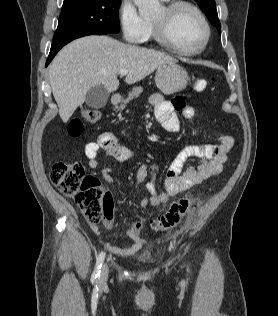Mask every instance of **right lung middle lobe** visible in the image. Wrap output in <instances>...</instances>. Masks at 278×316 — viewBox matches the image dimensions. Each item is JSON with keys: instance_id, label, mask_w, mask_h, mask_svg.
<instances>
[{"instance_id": "1", "label": "right lung middle lobe", "mask_w": 278, "mask_h": 316, "mask_svg": "<svg viewBox=\"0 0 278 316\" xmlns=\"http://www.w3.org/2000/svg\"><path fill=\"white\" fill-rule=\"evenodd\" d=\"M121 0H64L51 47L89 34L119 32Z\"/></svg>"}]
</instances>
